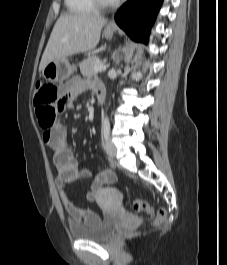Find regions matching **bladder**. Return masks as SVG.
Listing matches in <instances>:
<instances>
[{
	"mask_svg": "<svg viewBox=\"0 0 227 265\" xmlns=\"http://www.w3.org/2000/svg\"><path fill=\"white\" fill-rule=\"evenodd\" d=\"M117 228L114 217H104L90 225L72 224L70 234L74 239L86 241H103L109 238Z\"/></svg>",
	"mask_w": 227,
	"mask_h": 265,
	"instance_id": "bladder-1",
	"label": "bladder"
}]
</instances>
